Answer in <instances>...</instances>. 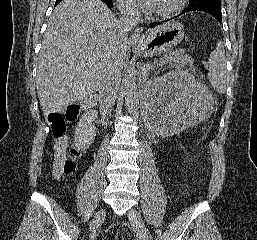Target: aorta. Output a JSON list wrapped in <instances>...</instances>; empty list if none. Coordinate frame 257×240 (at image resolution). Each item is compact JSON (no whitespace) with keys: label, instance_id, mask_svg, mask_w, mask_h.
<instances>
[{"label":"aorta","instance_id":"aorta-1","mask_svg":"<svg viewBox=\"0 0 257 240\" xmlns=\"http://www.w3.org/2000/svg\"><path fill=\"white\" fill-rule=\"evenodd\" d=\"M125 106L129 113H133L138 104V88L135 81V69L129 68L123 79Z\"/></svg>","mask_w":257,"mask_h":240}]
</instances>
